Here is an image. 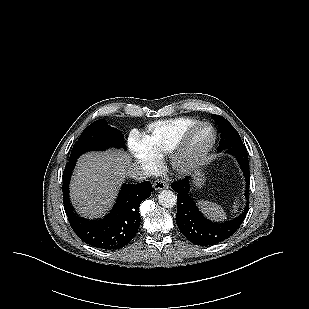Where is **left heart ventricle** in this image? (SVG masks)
I'll list each match as a JSON object with an SVG mask.
<instances>
[{"label": "left heart ventricle", "instance_id": "obj_1", "mask_svg": "<svg viewBox=\"0 0 309 309\" xmlns=\"http://www.w3.org/2000/svg\"><path fill=\"white\" fill-rule=\"evenodd\" d=\"M212 133L207 127L199 128L193 138L192 148L194 151L204 148L211 140Z\"/></svg>", "mask_w": 309, "mask_h": 309}]
</instances>
